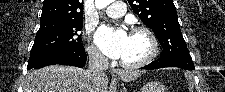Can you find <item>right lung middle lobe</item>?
Segmentation results:
<instances>
[{"label": "right lung middle lobe", "mask_w": 225, "mask_h": 92, "mask_svg": "<svg viewBox=\"0 0 225 92\" xmlns=\"http://www.w3.org/2000/svg\"><path fill=\"white\" fill-rule=\"evenodd\" d=\"M83 22L42 23L36 33L30 55L63 48L82 47L81 35Z\"/></svg>", "instance_id": "dd1d6c3e"}]
</instances>
